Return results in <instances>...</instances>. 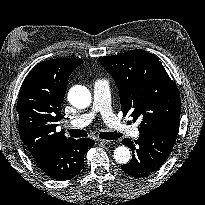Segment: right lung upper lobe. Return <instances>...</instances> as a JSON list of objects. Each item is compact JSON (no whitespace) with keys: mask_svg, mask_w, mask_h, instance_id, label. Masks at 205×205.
I'll use <instances>...</instances> for the list:
<instances>
[{"mask_svg":"<svg viewBox=\"0 0 205 205\" xmlns=\"http://www.w3.org/2000/svg\"><path fill=\"white\" fill-rule=\"evenodd\" d=\"M83 63L80 59H51L37 64L26 76L17 102L19 134L30 155L35 158L68 141L57 122L63 116L68 77Z\"/></svg>","mask_w":205,"mask_h":205,"instance_id":"obj_1","label":"right lung upper lobe"}]
</instances>
